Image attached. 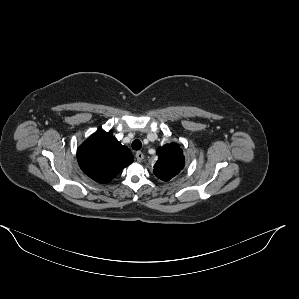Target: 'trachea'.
I'll list each match as a JSON object with an SVG mask.
<instances>
[{
  "label": "trachea",
  "mask_w": 299,
  "mask_h": 299,
  "mask_svg": "<svg viewBox=\"0 0 299 299\" xmlns=\"http://www.w3.org/2000/svg\"><path fill=\"white\" fill-rule=\"evenodd\" d=\"M132 148L133 150H140L142 148V143L140 140L138 139H135L133 142H132Z\"/></svg>",
  "instance_id": "obj_1"
}]
</instances>
